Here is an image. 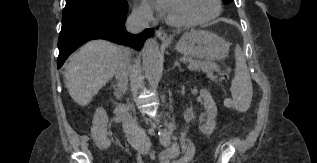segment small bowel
I'll use <instances>...</instances> for the list:
<instances>
[{
  "label": "small bowel",
  "instance_id": "1",
  "mask_svg": "<svg viewBox=\"0 0 317 163\" xmlns=\"http://www.w3.org/2000/svg\"><path fill=\"white\" fill-rule=\"evenodd\" d=\"M180 150V156L177 160H172ZM195 153V147L189 139H185L183 146L179 149L177 144H173L171 148L164 151L160 155L159 163H189ZM136 163H142L141 160H138Z\"/></svg>",
  "mask_w": 317,
  "mask_h": 163
}]
</instances>
